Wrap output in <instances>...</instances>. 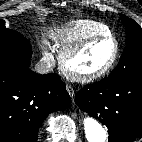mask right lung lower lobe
I'll use <instances>...</instances> for the list:
<instances>
[{"mask_svg":"<svg viewBox=\"0 0 142 142\" xmlns=\"http://www.w3.org/2000/svg\"><path fill=\"white\" fill-rule=\"evenodd\" d=\"M69 104L59 75H40L16 62L0 63V142H37L44 119Z\"/></svg>","mask_w":142,"mask_h":142,"instance_id":"right-lung-lower-lobe-1","label":"right lung lower lobe"}]
</instances>
